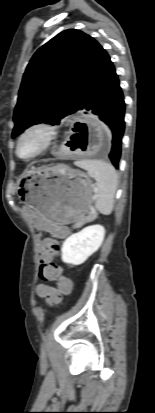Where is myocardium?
Here are the masks:
<instances>
[{"label": "myocardium", "instance_id": "1", "mask_svg": "<svg viewBox=\"0 0 155 413\" xmlns=\"http://www.w3.org/2000/svg\"><path fill=\"white\" fill-rule=\"evenodd\" d=\"M35 131H40L44 134L43 144L40 147V149L36 153H34L32 156L27 157V158L22 157L19 154L20 144L27 135ZM55 135H56V130L54 126H52L51 124L44 122V121H37V122L31 123L28 126H26L23 129V131L19 134L17 141H16V145H15V155L22 161L33 160L39 157L40 155H42L50 147V145L52 144V141L55 138Z\"/></svg>", "mask_w": 155, "mask_h": 413}]
</instances>
